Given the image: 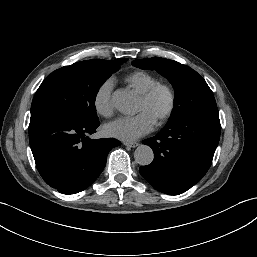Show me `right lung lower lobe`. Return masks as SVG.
Wrapping results in <instances>:
<instances>
[{"label": "right lung lower lobe", "mask_w": 257, "mask_h": 257, "mask_svg": "<svg viewBox=\"0 0 257 257\" xmlns=\"http://www.w3.org/2000/svg\"><path fill=\"white\" fill-rule=\"evenodd\" d=\"M99 120L72 122L57 116H31L29 142L44 181L63 194H75L91 185L106 165L114 138L92 140Z\"/></svg>", "instance_id": "98d812e1"}]
</instances>
